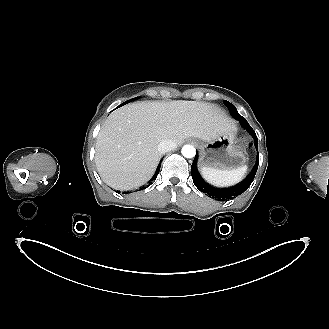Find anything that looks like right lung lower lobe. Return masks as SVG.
<instances>
[{"instance_id":"right-lung-lower-lobe-1","label":"right lung lower lobe","mask_w":329,"mask_h":329,"mask_svg":"<svg viewBox=\"0 0 329 329\" xmlns=\"http://www.w3.org/2000/svg\"><path fill=\"white\" fill-rule=\"evenodd\" d=\"M159 170H160V167L157 168L156 173H155L154 177L152 178V180L155 179V178L157 177V175H158V173H159ZM149 184H150V183H149Z\"/></svg>"}]
</instances>
